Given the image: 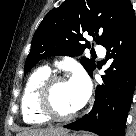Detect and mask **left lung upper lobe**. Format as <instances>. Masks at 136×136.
<instances>
[{
	"mask_svg": "<svg viewBox=\"0 0 136 136\" xmlns=\"http://www.w3.org/2000/svg\"><path fill=\"white\" fill-rule=\"evenodd\" d=\"M132 4L129 0H65L51 10L36 30L24 73L41 59L55 56H76L90 48L81 44L83 33L95 37L103 45L125 20ZM81 64L89 74L96 67L94 60L83 58Z\"/></svg>",
	"mask_w": 136,
	"mask_h": 136,
	"instance_id": "5c2ea615",
	"label": "left lung upper lobe"
}]
</instances>
